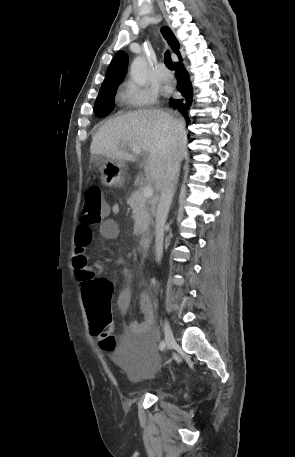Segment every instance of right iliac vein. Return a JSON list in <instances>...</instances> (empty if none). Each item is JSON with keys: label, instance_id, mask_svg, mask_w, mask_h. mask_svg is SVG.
Wrapping results in <instances>:
<instances>
[{"label": "right iliac vein", "instance_id": "obj_1", "mask_svg": "<svg viewBox=\"0 0 295 457\" xmlns=\"http://www.w3.org/2000/svg\"><path fill=\"white\" fill-rule=\"evenodd\" d=\"M165 345L167 349H171L175 344V339L168 321L165 319L164 323Z\"/></svg>", "mask_w": 295, "mask_h": 457}]
</instances>
